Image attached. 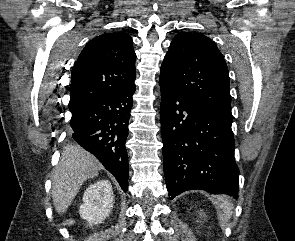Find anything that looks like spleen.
I'll return each instance as SVG.
<instances>
[{
    "instance_id": "1",
    "label": "spleen",
    "mask_w": 295,
    "mask_h": 241,
    "mask_svg": "<svg viewBox=\"0 0 295 241\" xmlns=\"http://www.w3.org/2000/svg\"><path fill=\"white\" fill-rule=\"evenodd\" d=\"M217 200L219 201V206L223 211L224 219H230L233 212V205L230 200L224 196H219Z\"/></svg>"
}]
</instances>
